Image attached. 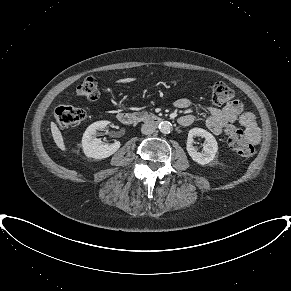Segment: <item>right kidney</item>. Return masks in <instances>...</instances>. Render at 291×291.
Wrapping results in <instances>:
<instances>
[{
	"label": "right kidney",
	"mask_w": 291,
	"mask_h": 291,
	"mask_svg": "<svg viewBox=\"0 0 291 291\" xmlns=\"http://www.w3.org/2000/svg\"><path fill=\"white\" fill-rule=\"evenodd\" d=\"M109 124L108 121H97L91 124L83 134L82 147L84 154L89 158L104 159L113 155L119 148L120 142L115 141L108 145L98 139L97 130H102Z\"/></svg>",
	"instance_id": "obj_1"
}]
</instances>
